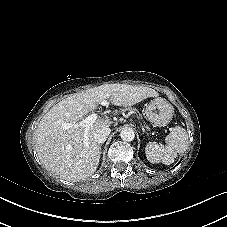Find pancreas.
I'll return each instance as SVG.
<instances>
[{"mask_svg":"<svg viewBox=\"0 0 227 227\" xmlns=\"http://www.w3.org/2000/svg\"><path fill=\"white\" fill-rule=\"evenodd\" d=\"M125 110H130V111H133L134 113H136L135 109H132V108H129V107L128 108L126 107Z\"/></svg>","mask_w":227,"mask_h":227,"instance_id":"1","label":"pancreas"}]
</instances>
